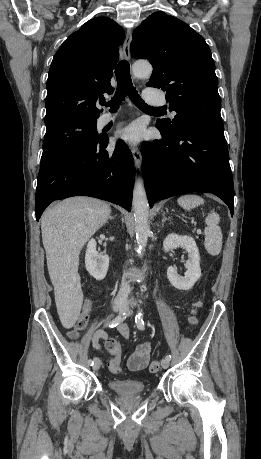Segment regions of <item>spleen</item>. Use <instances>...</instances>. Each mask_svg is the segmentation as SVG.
<instances>
[{
    "instance_id": "1",
    "label": "spleen",
    "mask_w": 261,
    "mask_h": 459,
    "mask_svg": "<svg viewBox=\"0 0 261 459\" xmlns=\"http://www.w3.org/2000/svg\"><path fill=\"white\" fill-rule=\"evenodd\" d=\"M177 202L183 209L191 211L192 209L203 205L205 201L198 195L187 194L179 197ZM219 222L220 217L214 211H211V213H209L205 218L206 227L204 230V247L206 251L212 256H217L222 249V231L218 225Z\"/></svg>"
}]
</instances>
